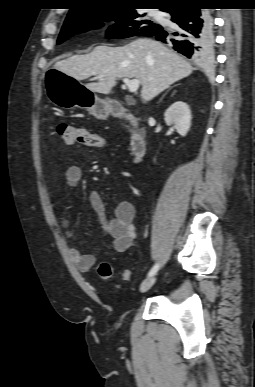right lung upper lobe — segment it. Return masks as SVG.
Returning a JSON list of instances; mask_svg holds the SVG:
<instances>
[{
  "label": "right lung upper lobe",
  "mask_w": 255,
  "mask_h": 387,
  "mask_svg": "<svg viewBox=\"0 0 255 387\" xmlns=\"http://www.w3.org/2000/svg\"><path fill=\"white\" fill-rule=\"evenodd\" d=\"M185 1L190 0H76L75 7L70 9L65 21L76 20L95 10L148 5L162 6L161 10H165L172 5Z\"/></svg>",
  "instance_id": "cb5924a9"
}]
</instances>
